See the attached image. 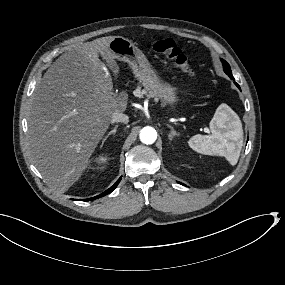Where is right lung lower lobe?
<instances>
[{"instance_id": "right-lung-lower-lobe-1", "label": "right lung lower lobe", "mask_w": 285, "mask_h": 285, "mask_svg": "<svg viewBox=\"0 0 285 285\" xmlns=\"http://www.w3.org/2000/svg\"><path fill=\"white\" fill-rule=\"evenodd\" d=\"M120 180H121V177H120L109 189H107L106 191H104V192L101 193L100 195L95 196V197H93V198L82 199V200H83V201L94 200V199H96V198H100V197H103V196H105V195L111 193V192L117 187V185L119 184Z\"/></svg>"}]
</instances>
